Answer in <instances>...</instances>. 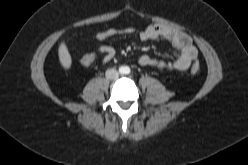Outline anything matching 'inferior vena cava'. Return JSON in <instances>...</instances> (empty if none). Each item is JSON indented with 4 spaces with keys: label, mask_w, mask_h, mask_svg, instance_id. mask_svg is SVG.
Returning <instances> with one entry per match:
<instances>
[{
    "label": "inferior vena cava",
    "mask_w": 248,
    "mask_h": 165,
    "mask_svg": "<svg viewBox=\"0 0 248 165\" xmlns=\"http://www.w3.org/2000/svg\"><path fill=\"white\" fill-rule=\"evenodd\" d=\"M105 76L107 79H117L119 76V72L114 68L108 69L105 73Z\"/></svg>",
    "instance_id": "1"
}]
</instances>
